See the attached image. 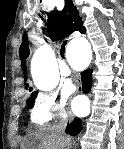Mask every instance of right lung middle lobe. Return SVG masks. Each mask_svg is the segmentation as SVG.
I'll return each instance as SVG.
<instances>
[{
  "instance_id": "dd1d6c3e",
  "label": "right lung middle lobe",
  "mask_w": 124,
  "mask_h": 149,
  "mask_svg": "<svg viewBox=\"0 0 124 149\" xmlns=\"http://www.w3.org/2000/svg\"><path fill=\"white\" fill-rule=\"evenodd\" d=\"M30 90H32V88H30ZM36 96H37V92H33L31 94V97L27 99L26 104L29 108L33 106Z\"/></svg>"
}]
</instances>
